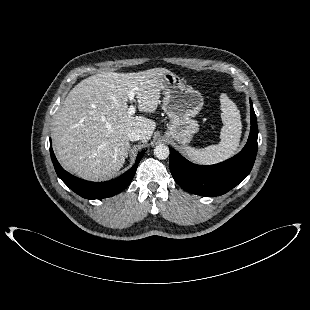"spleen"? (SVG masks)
I'll return each mask as SVG.
<instances>
[{
	"label": "spleen",
	"mask_w": 310,
	"mask_h": 310,
	"mask_svg": "<svg viewBox=\"0 0 310 310\" xmlns=\"http://www.w3.org/2000/svg\"><path fill=\"white\" fill-rule=\"evenodd\" d=\"M221 119L224 126L220 132V142L203 149L186 147V155L198 164H216L230 158L236 152L242 132L240 112L226 94L220 96Z\"/></svg>",
	"instance_id": "spleen-1"
}]
</instances>
